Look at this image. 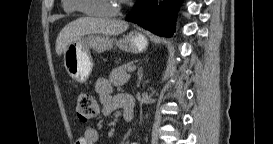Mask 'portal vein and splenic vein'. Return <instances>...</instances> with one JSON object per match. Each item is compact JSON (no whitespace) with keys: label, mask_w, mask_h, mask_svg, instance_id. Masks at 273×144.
<instances>
[{"label":"portal vein and splenic vein","mask_w":273,"mask_h":144,"mask_svg":"<svg viewBox=\"0 0 273 144\" xmlns=\"http://www.w3.org/2000/svg\"><path fill=\"white\" fill-rule=\"evenodd\" d=\"M135 70H136V66H131V67L128 68V72H129V73H132V72H134Z\"/></svg>","instance_id":"1"}]
</instances>
